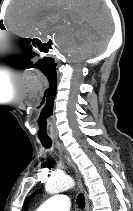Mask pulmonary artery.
Returning <instances> with one entry per match:
<instances>
[{
	"label": "pulmonary artery",
	"instance_id": "1",
	"mask_svg": "<svg viewBox=\"0 0 133 211\" xmlns=\"http://www.w3.org/2000/svg\"><path fill=\"white\" fill-rule=\"evenodd\" d=\"M70 201L63 194L54 195L42 203L36 211H69Z\"/></svg>",
	"mask_w": 133,
	"mask_h": 211
}]
</instances>
